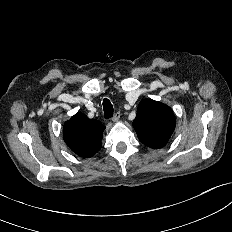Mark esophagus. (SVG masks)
<instances>
[{"label": "esophagus", "instance_id": "1", "mask_svg": "<svg viewBox=\"0 0 232 232\" xmlns=\"http://www.w3.org/2000/svg\"><path fill=\"white\" fill-rule=\"evenodd\" d=\"M120 116H121L120 112H116L114 116L112 117V121L113 122L118 121L120 119Z\"/></svg>", "mask_w": 232, "mask_h": 232}]
</instances>
